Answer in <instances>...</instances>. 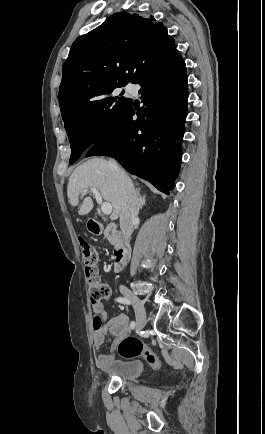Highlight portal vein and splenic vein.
<instances>
[{"mask_svg": "<svg viewBox=\"0 0 265 434\" xmlns=\"http://www.w3.org/2000/svg\"><path fill=\"white\" fill-rule=\"evenodd\" d=\"M89 190H91L92 194H94L97 204H101V210H102L103 214H107V216H108V214H111V212H112L111 204H109V202H103L102 196H101L100 192H98L97 188H89ZM83 192H84V194H86V192H88V190H83Z\"/></svg>", "mask_w": 265, "mask_h": 434, "instance_id": "18ae733b", "label": "portal vein and splenic vein"}]
</instances>
